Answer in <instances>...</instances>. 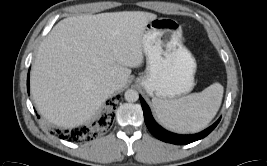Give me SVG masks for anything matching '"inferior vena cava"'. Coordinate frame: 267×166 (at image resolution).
<instances>
[{"instance_id": "inferior-vena-cava-1", "label": "inferior vena cava", "mask_w": 267, "mask_h": 166, "mask_svg": "<svg viewBox=\"0 0 267 166\" xmlns=\"http://www.w3.org/2000/svg\"><path fill=\"white\" fill-rule=\"evenodd\" d=\"M118 89V84L116 82H110L106 84V90L109 93H113Z\"/></svg>"}]
</instances>
